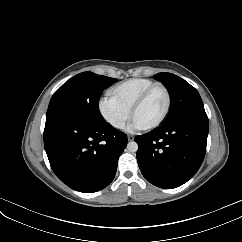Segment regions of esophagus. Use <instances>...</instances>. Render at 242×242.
Returning <instances> with one entry per match:
<instances>
[{
    "label": "esophagus",
    "instance_id": "34e87169",
    "mask_svg": "<svg viewBox=\"0 0 242 242\" xmlns=\"http://www.w3.org/2000/svg\"><path fill=\"white\" fill-rule=\"evenodd\" d=\"M127 139H128V141H132V140H134V136L128 135Z\"/></svg>",
    "mask_w": 242,
    "mask_h": 242
}]
</instances>
